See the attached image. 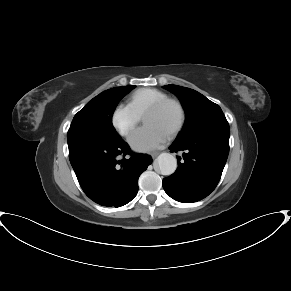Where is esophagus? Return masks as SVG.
I'll use <instances>...</instances> for the list:
<instances>
[{"label":"esophagus","mask_w":291,"mask_h":291,"mask_svg":"<svg viewBox=\"0 0 291 291\" xmlns=\"http://www.w3.org/2000/svg\"><path fill=\"white\" fill-rule=\"evenodd\" d=\"M158 155H159V152H153V153L151 154V156H152L153 158H156Z\"/></svg>","instance_id":"1"}]
</instances>
